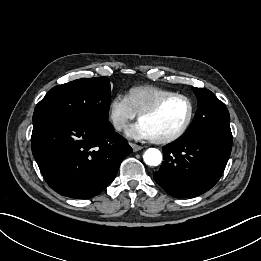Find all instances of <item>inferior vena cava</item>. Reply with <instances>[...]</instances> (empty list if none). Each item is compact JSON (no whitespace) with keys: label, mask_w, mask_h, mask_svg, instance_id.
<instances>
[{"label":"inferior vena cava","mask_w":261,"mask_h":261,"mask_svg":"<svg viewBox=\"0 0 261 261\" xmlns=\"http://www.w3.org/2000/svg\"><path fill=\"white\" fill-rule=\"evenodd\" d=\"M121 127H120V125L119 124H117L116 125V129H120Z\"/></svg>","instance_id":"inferior-vena-cava-1"}]
</instances>
